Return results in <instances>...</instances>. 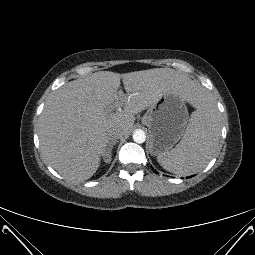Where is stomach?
I'll list each match as a JSON object with an SVG mask.
<instances>
[{
    "instance_id": "0dacf381",
    "label": "stomach",
    "mask_w": 255,
    "mask_h": 255,
    "mask_svg": "<svg viewBox=\"0 0 255 255\" xmlns=\"http://www.w3.org/2000/svg\"><path fill=\"white\" fill-rule=\"evenodd\" d=\"M187 100L177 90L163 93L149 106L152 120L147 126L150 133L148 148L153 156L170 151L185 132L188 122Z\"/></svg>"
}]
</instances>
